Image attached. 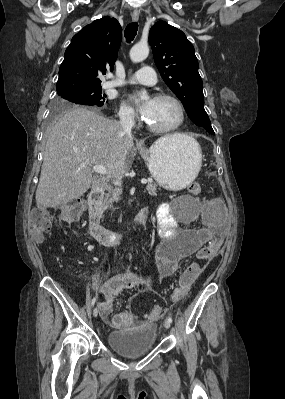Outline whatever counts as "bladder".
<instances>
[{"instance_id": "bladder-1", "label": "bladder", "mask_w": 285, "mask_h": 399, "mask_svg": "<svg viewBox=\"0 0 285 399\" xmlns=\"http://www.w3.org/2000/svg\"><path fill=\"white\" fill-rule=\"evenodd\" d=\"M193 198L181 196L176 203L185 204ZM108 346L118 355L133 359L149 353L156 342L154 328L137 327L123 332H110L106 336Z\"/></svg>"}]
</instances>
